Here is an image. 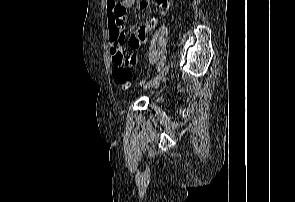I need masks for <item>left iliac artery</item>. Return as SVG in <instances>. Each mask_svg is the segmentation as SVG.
I'll list each match as a JSON object with an SVG mask.
<instances>
[{
	"instance_id": "obj_1",
	"label": "left iliac artery",
	"mask_w": 295,
	"mask_h": 202,
	"mask_svg": "<svg viewBox=\"0 0 295 202\" xmlns=\"http://www.w3.org/2000/svg\"><path fill=\"white\" fill-rule=\"evenodd\" d=\"M165 60H166V58L164 57V58H162V60L159 62L158 67H157V71H158V72H159V71L162 69V67L164 66V64H165Z\"/></svg>"
}]
</instances>
